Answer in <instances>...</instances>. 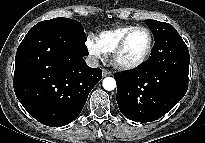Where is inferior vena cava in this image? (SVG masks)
Here are the masks:
<instances>
[{"label":"inferior vena cava","mask_w":205,"mask_h":143,"mask_svg":"<svg viewBox=\"0 0 205 143\" xmlns=\"http://www.w3.org/2000/svg\"><path fill=\"white\" fill-rule=\"evenodd\" d=\"M85 61H86L87 65L91 68H98V66H99V61L94 56H87L85 58Z\"/></svg>","instance_id":"obj_1"}]
</instances>
